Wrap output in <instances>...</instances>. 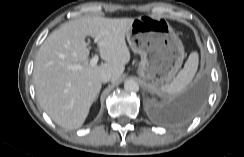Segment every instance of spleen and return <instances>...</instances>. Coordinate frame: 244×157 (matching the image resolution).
Segmentation results:
<instances>
[{
  "instance_id": "obj_1",
  "label": "spleen",
  "mask_w": 244,
  "mask_h": 157,
  "mask_svg": "<svg viewBox=\"0 0 244 157\" xmlns=\"http://www.w3.org/2000/svg\"><path fill=\"white\" fill-rule=\"evenodd\" d=\"M198 68V53H190L184 68L168 84L161 87V91L168 94L181 92L193 79Z\"/></svg>"
}]
</instances>
